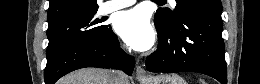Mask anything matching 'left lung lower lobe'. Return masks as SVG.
I'll return each mask as SVG.
<instances>
[{"instance_id":"obj_1","label":"left lung lower lobe","mask_w":260,"mask_h":84,"mask_svg":"<svg viewBox=\"0 0 260 84\" xmlns=\"http://www.w3.org/2000/svg\"><path fill=\"white\" fill-rule=\"evenodd\" d=\"M158 49L147 57L150 72H198L227 84L221 11L183 7L172 23L155 20Z\"/></svg>"}]
</instances>
